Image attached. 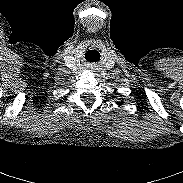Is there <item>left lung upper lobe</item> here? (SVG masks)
<instances>
[{
    "mask_svg": "<svg viewBox=\"0 0 183 183\" xmlns=\"http://www.w3.org/2000/svg\"><path fill=\"white\" fill-rule=\"evenodd\" d=\"M121 104H122V102H119V103H118V105H121Z\"/></svg>",
    "mask_w": 183,
    "mask_h": 183,
    "instance_id": "obj_1",
    "label": "left lung upper lobe"
}]
</instances>
